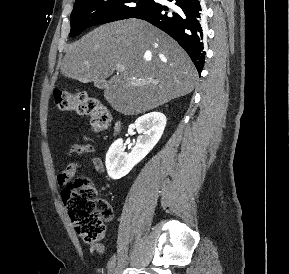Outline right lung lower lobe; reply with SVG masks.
Here are the masks:
<instances>
[{"label":"right lung lower lobe","mask_w":289,"mask_h":274,"mask_svg":"<svg viewBox=\"0 0 289 274\" xmlns=\"http://www.w3.org/2000/svg\"><path fill=\"white\" fill-rule=\"evenodd\" d=\"M171 7L154 2L134 18L145 20L173 37L189 54L199 74L204 65V14L201 0H168Z\"/></svg>","instance_id":"right-lung-lower-lobe-1"}]
</instances>
